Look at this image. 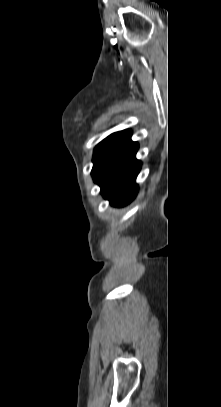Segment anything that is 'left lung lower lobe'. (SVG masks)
Segmentation results:
<instances>
[{"instance_id":"0a47b994","label":"left lung lower lobe","mask_w":221,"mask_h":407,"mask_svg":"<svg viewBox=\"0 0 221 407\" xmlns=\"http://www.w3.org/2000/svg\"><path fill=\"white\" fill-rule=\"evenodd\" d=\"M138 143L125 130L94 163L92 176L101 187V194L113 206H124L137 194L136 177L141 163L136 159Z\"/></svg>"}]
</instances>
